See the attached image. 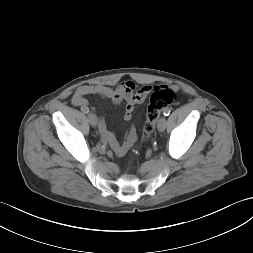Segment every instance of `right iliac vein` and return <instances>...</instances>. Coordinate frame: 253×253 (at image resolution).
<instances>
[{"instance_id":"63e3f726","label":"right iliac vein","mask_w":253,"mask_h":253,"mask_svg":"<svg viewBox=\"0 0 253 253\" xmlns=\"http://www.w3.org/2000/svg\"><path fill=\"white\" fill-rule=\"evenodd\" d=\"M88 120H89L91 126L96 127V125H97V117H96L95 114L89 113L88 114Z\"/></svg>"}]
</instances>
